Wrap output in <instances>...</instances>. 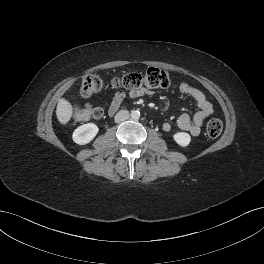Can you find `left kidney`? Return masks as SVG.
<instances>
[{"label":"left kidney","mask_w":264,"mask_h":264,"mask_svg":"<svg viewBox=\"0 0 264 264\" xmlns=\"http://www.w3.org/2000/svg\"><path fill=\"white\" fill-rule=\"evenodd\" d=\"M173 139L178 145L186 147L191 141V136L186 132H178L173 135Z\"/></svg>","instance_id":"left-kidney-1"}]
</instances>
